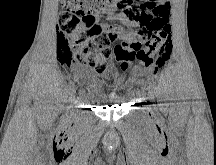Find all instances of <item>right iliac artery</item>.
Returning <instances> with one entry per match:
<instances>
[{"instance_id":"obj_1","label":"right iliac artery","mask_w":216,"mask_h":165,"mask_svg":"<svg viewBox=\"0 0 216 165\" xmlns=\"http://www.w3.org/2000/svg\"><path fill=\"white\" fill-rule=\"evenodd\" d=\"M74 101V96H69V98L66 100L67 104H71Z\"/></svg>"}]
</instances>
